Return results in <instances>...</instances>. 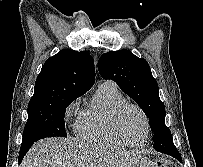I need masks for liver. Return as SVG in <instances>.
Here are the masks:
<instances>
[{"label": "liver", "mask_w": 203, "mask_h": 167, "mask_svg": "<svg viewBox=\"0 0 203 167\" xmlns=\"http://www.w3.org/2000/svg\"><path fill=\"white\" fill-rule=\"evenodd\" d=\"M20 167H152V164L135 153L72 138H47L31 147Z\"/></svg>", "instance_id": "obj_1"}]
</instances>
